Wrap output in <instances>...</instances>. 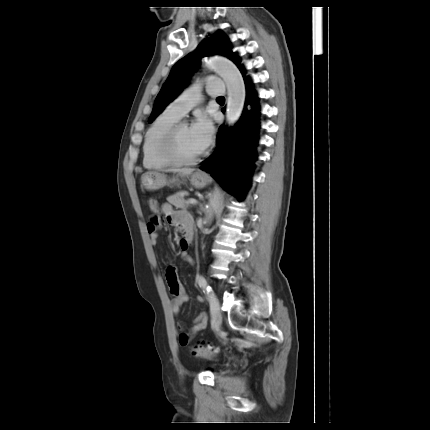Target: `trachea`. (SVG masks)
<instances>
[{
  "mask_svg": "<svg viewBox=\"0 0 430 430\" xmlns=\"http://www.w3.org/2000/svg\"><path fill=\"white\" fill-rule=\"evenodd\" d=\"M217 99H218V100H223V99H224V97H218Z\"/></svg>",
  "mask_w": 430,
  "mask_h": 430,
  "instance_id": "3493384b",
  "label": "trachea"
}]
</instances>
